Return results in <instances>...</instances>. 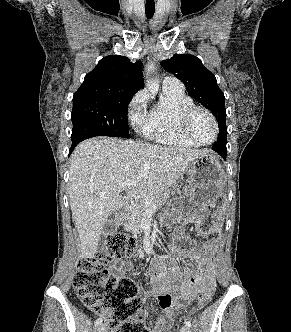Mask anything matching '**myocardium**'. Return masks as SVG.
<instances>
[{
	"instance_id": "obj_1",
	"label": "myocardium",
	"mask_w": 291,
	"mask_h": 332,
	"mask_svg": "<svg viewBox=\"0 0 291 332\" xmlns=\"http://www.w3.org/2000/svg\"><path fill=\"white\" fill-rule=\"evenodd\" d=\"M197 112H203L205 113L212 121L215 129V134L212 140L204 142L196 138L193 133L191 132V121L193 116ZM180 128L183 132V134L192 142L196 143L197 145H210L214 143L218 137L219 134V126L218 122L216 120V117L214 114L207 108L203 106H198V105H192L183 110L180 116Z\"/></svg>"
}]
</instances>
